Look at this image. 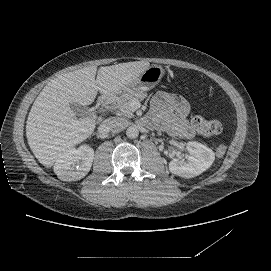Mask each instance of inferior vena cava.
Segmentation results:
<instances>
[{
	"mask_svg": "<svg viewBox=\"0 0 271 271\" xmlns=\"http://www.w3.org/2000/svg\"><path fill=\"white\" fill-rule=\"evenodd\" d=\"M127 121L123 118H109L106 119L99 127L101 134H106L109 131L119 133L127 127Z\"/></svg>",
	"mask_w": 271,
	"mask_h": 271,
	"instance_id": "602c4592",
	"label": "inferior vena cava"
}]
</instances>
